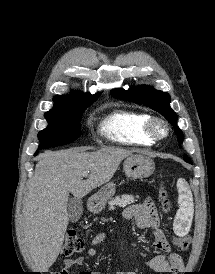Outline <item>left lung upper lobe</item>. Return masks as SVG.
<instances>
[{"instance_id":"5c2ea615","label":"left lung upper lobe","mask_w":215,"mask_h":274,"mask_svg":"<svg viewBox=\"0 0 215 274\" xmlns=\"http://www.w3.org/2000/svg\"><path fill=\"white\" fill-rule=\"evenodd\" d=\"M111 95L116 98L131 101L149 106L151 109L160 112L171 124H176L177 115L170 108V95L167 92L156 90L153 87L142 85L124 90L122 88L113 89ZM178 134V141L182 143V134L178 127H175ZM184 160L191 163L188 157Z\"/></svg>"}]
</instances>
